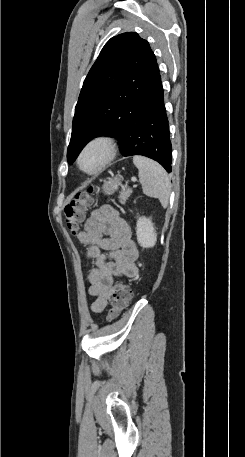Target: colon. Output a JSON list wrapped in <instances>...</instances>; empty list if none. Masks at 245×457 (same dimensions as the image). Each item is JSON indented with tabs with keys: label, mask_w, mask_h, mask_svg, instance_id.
<instances>
[{
	"label": "colon",
	"mask_w": 245,
	"mask_h": 457,
	"mask_svg": "<svg viewBox=\"0 0 245 457\" xmlns=\"http://www.w3.org/2000/svg\"><path fill=\"white\" fill-rule=\"evenodd\" d=\"M93 188L86 193L77 195L64 208V219L67 227L72 232H76L83 220L85 210L91 198ZM132 298V290L129 285L121 284L112 293L109 302L108 319H114L127 307Z\"/></svg>",
	"instance_id": "1"
}]
</instances>
